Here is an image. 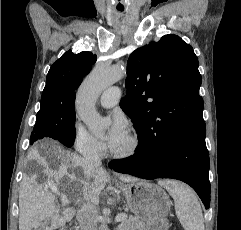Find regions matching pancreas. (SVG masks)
<instances>
[{
  "mask_svg": "<svg viewBox=\"0 0 241 230\" xmlns=\"http://www.w3.org/2000/svg\"><path fill=\"white\" fill-rule=\"evenodd\" d=\"M118 230H146V224L134 216H129L119 225Z\"/></svg>",
  "mask_w": 241,
  "mask_h": 230,
  "instance_id": "pancreas-1",
  "label": "pancreas"
}]
</instances>
